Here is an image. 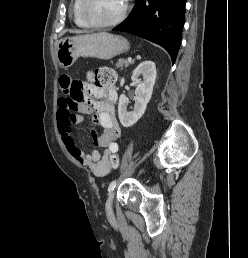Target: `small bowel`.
I'll list each match as a JSON object with an SVG mask.
<instances>
[{
	"label": "small bowel",
	"instance_id": "obj_1",
	"mask_svg": "<svg viewBox=\"0 0 248 258\" xmlns=\"http://www.w3.org/2000/svg\"><path fill=\"white\" fill-rule=\"evenodd\" d=\"M60 87L63 96L58 101V129L68 153L80 164L90 168L97 177L107 175L111 170V159L119 151L117 143L121 134V128L116 119L115 107L118 93L114 86L102 87L88 85L84 88L80 98L78 82L68 77L60 79ZM82 113H95V119L102 128L100 134H92L94 146L102 148L103 152L95 150L85 154L76 144L73 137V126L83 122Z\"/></svg>",
	"mask_w": 248,
	"mask_h": 258
}]
</instances>
